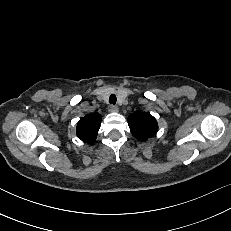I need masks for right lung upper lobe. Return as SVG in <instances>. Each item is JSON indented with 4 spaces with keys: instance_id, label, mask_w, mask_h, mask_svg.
<instances>
[{
    "instance_id": "cb5924a9",
    "label": "right lung upper lobe",
    "mask_w": 231,
    "mask_h": 231,
    "mask_svg": "<svg viewBox=\"0 0 231 231\" xmlns=\"http://www.w3.org/2000/svg\"><path fill=\"white\" fill-rule=\"evenodd\" d=\"M102 116L97 113L86 115L77 124V136L86 142H93L97 136Z\"/></svg>"
}]
</instances>
